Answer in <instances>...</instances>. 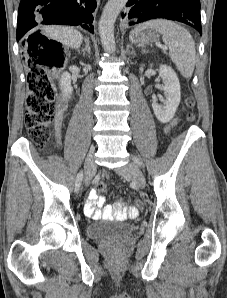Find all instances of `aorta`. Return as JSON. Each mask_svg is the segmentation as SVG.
Returning <instances> with one entry per match:
<instances>
[{
  "mask_svg": "<svg viewBox=\"0 0 227 298\" xmlns=\"http://www.w3.org/2000/svg\"><path fill=\"white\" fill-rule=\"evenodd\" d=\"M128 0H108L98 23L101 43L105 51L113 53L116 48L114 24Z\"/></svg>",
  "mask_w": 227,
  "mask_h": 298,
  "instance_id": "aorta-1",
  "label": "aorta"
}]
</instances>
